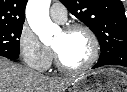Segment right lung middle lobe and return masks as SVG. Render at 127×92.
<instances>
[{"label":"right lung middle lobe","mask_w":127,"mask_h":92,"mask_svg":"<svg viewBox=\"0 0 127 92\" xmlns=\"http://www.w3.org/2000/svg\"><path fill=\"white\" fill-rule=\"evenodd\" d=\"M23 25L0 26V52L19 55V40Z\"/></svg>","instance_id":"dd1d6c3e"}]
</instances>
